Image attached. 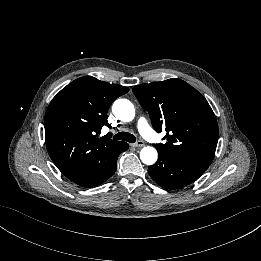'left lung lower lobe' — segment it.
Segmentation results:
<instances>
[{
	"instance_id": "obj_1",
	"label": "left lung lower lobe",
	"mask_w": 261,
	"mask_h": 261,
	"mask_svg": "<svg viewBox=\"0 0 261 261\" xmlns=\"http://www.w3.org/2000/svg\"><path fill=\"white\" fill-rule=\"evenodd\" d=\"M158 153L159 158L148 167V173L159 186L167 189H180L193 183L210 165L172 153Z\"/></svg>"
}]
</instances>
